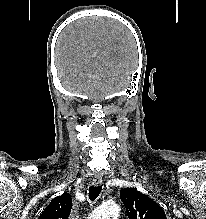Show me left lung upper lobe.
Listing matches in <instances>:
<instances>
[{
  "mask_svg": "<svg viewBox=\"0 0 206 219\" xmlns=\"http://www.w3.org/2000/svg\"><path fill=\"white\" fill-rule=\"evenodd\" d=\"M120 199L129 219H167L164 210L156 202L135 189H121Z\"/></svg>",
  "mask_w": 206,
  "mask_h": 219,
  "instance_id": "obj_1",
  "label": "left lung upper lobe"
}]
</instances>
